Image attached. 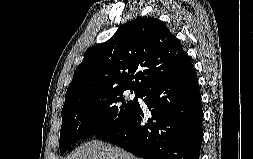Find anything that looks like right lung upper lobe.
Here are the masks:
<instances>
[{
  "label": "right lung upper lobe",
  "instance_id": "right-lung-upper-lobe-1",
  "mask_svg": "<svg viewBox=\"0 0 253 159\" xmlns=\"http://www.w3.org/2000/svg\"><path fill=\"white\" fill-rule=\"evenodd\" d=\"M192 70L187 53L166 24L140 17L85 52L66 91L65 104L108 91L132 89L142 94Z\"/></svg>",
  "mask_w": 253,
  "mask_h": 159
}]
</instances>
